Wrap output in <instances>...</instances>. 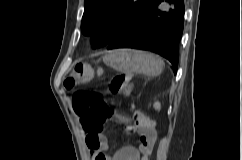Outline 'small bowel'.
<instances>
[{"instance_id":"small-bowel-1","label":"small bowel","mask_w":242,"mask_h":160,"mask_svg":"<svg viewBox=\"0 0 242 160\" xmlns=\"http://www.w3.org/2000/svg\"><path fill=\"white\" fill-rule=\"evenodd\" d=\"M117 120L124 124L129 133H136L139 137L138 148L125 146L115 154L108 153L109 145L106 137L100 134H90L84 128L85 142L89 150L91 160H149L156 141V130L154 122L142 112L133 113L134 121L123 115L117 114ZM92 139L96 140L93 144Z\"/></svg>"}]
</instances>
